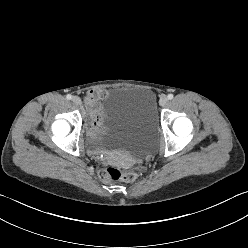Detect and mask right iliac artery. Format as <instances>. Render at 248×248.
<instances>
[{
	"label": "right iliac artery",
	"instance_id": "obj_1",
	"mask_svg": "<svg viewBox=\"0 0 248 248\" xmlns=\"http://www.w3.org/2000/svg\"><path fill=\"white\" fill-rule=\"evenodd\" d=\"M66 98H67L68 100H70V99H72V95H71V94H68V95L66 96Z\"/></svg>",
	"mask_w": 248,
	"mask_h": 248
}]
</instances>
